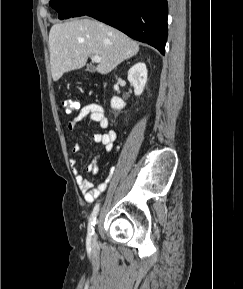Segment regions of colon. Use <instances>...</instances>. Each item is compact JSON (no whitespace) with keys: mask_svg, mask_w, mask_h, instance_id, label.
Returning a JSON list of instances; mask_svg holds the SVG:
<instances>
[{"mask_svg":"<svg viewBox=\"0 0 243 289\" xmlns=\"http://www.w3.org/2000/svg\"><path fill=\"white\" fill-rule=\"evenodd\" d=\"M62 106L65 109L66 113L70 114L79 108V103L72 99H64L62 101Z\"/></svg>","mask_w":243,"mask_h":289,"instance_id":"colon-1","label":"colon"}]
</instances>
